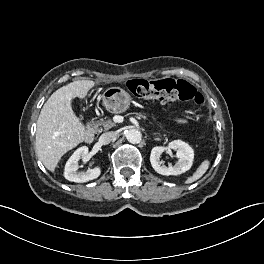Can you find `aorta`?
<instances>
[{
  "label": "aorta",
  "mask_w": 264,
  "mask_h": 264,
  "mask_svg": "<svg viewBox=\"0 0 264 264\" xmlns=\"http://www.w3.org/2000/svg\"><path fill=\"white\" fill-rule=\"evenodd\" d=\"M126 138L128 142L132 144H138L142 140V134L138 129H130L126 133Z\"/></svg>",
  "instance_id": "1"
}]
</instances>
